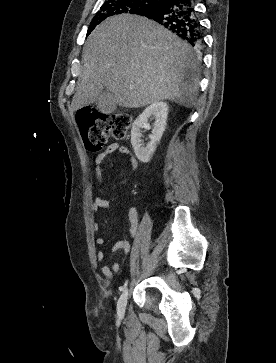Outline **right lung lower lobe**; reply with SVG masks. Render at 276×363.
<instances>
[{
	"label": "right lung lower lobe",
	"mask_w": 276,
	"mask_h": 363,
	"mask_svg": "<svg viewBox=\"0 0 276 363\" xmlns=\"http://www.w3.org/2000/svg\"><path fill=\"white\" fill-rule=\"evenodd\" d=\"M138 15L161 24L201 50L203 41L193 0H159Z\"/></svg>",
	"instance_id": "1"
}]
</instances>
